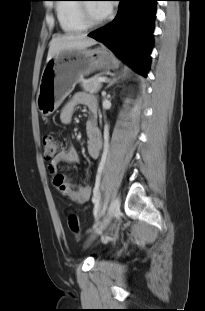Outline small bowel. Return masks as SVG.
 <instances>
[{
    "label": "small bowel",
    "instance_id": "obj_1",
    "mask_svg": "<svg viewBox=\"0 0 205 311\" xmlns=\"http://www.w3.org/2000/svg\"><path fill=\"white\" fill-rule=\"evenodd\" d=\"M80 105H85L91 113V117L86 124L87 153L92 159H96L101 149V134L95 121V115L98 110L96 98L85 92L76 93L62 108L60 120L63 124H70L73 121L76 108ZM77 161V152L73 146L69 145L55 155L48 165V170L52 176L53 186L69 200L81 204L90 199L92 193L91 185L76 186L66 175L58 172L60 164H74Z\"/></svg>",
    "mask_w": 205,
    "mask_h": 311
}]
</instances>
